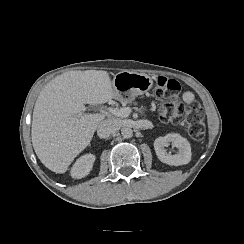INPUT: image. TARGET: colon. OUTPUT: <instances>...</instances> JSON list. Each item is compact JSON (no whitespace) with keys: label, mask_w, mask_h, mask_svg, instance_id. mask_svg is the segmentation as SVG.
<instances>
[{"label":"colon","mask_w":244,"mask_h":244,"mask_svg":"<svg viewBox=\"0 0 244 244\" xmlns=\"http://www.w3.org/2000/svg\"><path fill=\"white\" fill-rule=\"evenodd\" d=\"M155 86L160 121L171 120L172 125L179 126L182 123L181 115H184L190 137L195 141L202 140L205 134L202 105L195 98L183 102L179 98L181 85L174 79L158 77Z\"/></svg>","instance_id":"5ec220e1"}]
</instances>
